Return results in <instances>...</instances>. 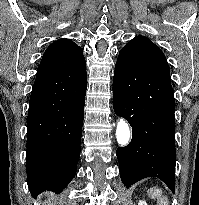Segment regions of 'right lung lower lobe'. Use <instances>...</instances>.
<instances>
[{"label":"right lung lower lobe","mask_w":199,"mask_h":205,"mask_svg":"<svg viewBox=\"0 0 199 205\" xmlns=\"http://www.w3.org/2000/svg\"><path fill=\"white\" fill-rule=\"evenodd\" d=\"M35 80L27 117V184L33 197L60 193L73 179L80 154L87 74L65 79L59 90Z\"/></svg>","instance_id":"right-lung-lower-lobe-1"}]
</instances>
